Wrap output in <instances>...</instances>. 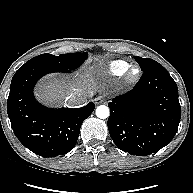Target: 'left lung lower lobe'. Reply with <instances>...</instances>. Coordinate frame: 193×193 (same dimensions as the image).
Segmentation results:
<instances>
[{
  "label": "left lung lower lobe",
  "mask_w": 193,
  "mask_h": 193,
  "mask_svg": "<svg viewBox=\"0 0 193 193\" xmlns=\"http://www.w3.org/2000/svg\"><path fill=\"white\" fill-rule=\"evenodd\" d=\"M108 129L122 151L146 156L166 146L175 136L181 117L176 82L161 65L143 71L129 92L108 104Z\"/></svg>",
  "instance_id": "left-lung-lower-lobe-1"
}]
</instances>
